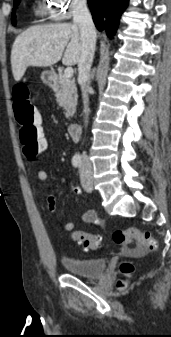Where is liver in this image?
Listing matches in <instances>:
<instances>
[{
    "label": "liver",
    "instance_id": "liver-1",
    "mask_svg": "<svg viewBox=\"0 0 171 337\" xmlns=\"http://www.w3.org/2000/svg\"><path fill=\"white\" fill-rule=\"evenodd\" d=\"M80 56L81 34L76 25L57 23L33 26L18 35L13 43V77L20 81L27 67H48L61 58L64 65H75Z\"/></svg>",
    "mask_w": 171,
    "mask_h": 337
}]
</instances>
